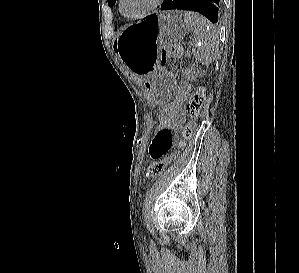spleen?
I'll return each mask as SVG.
<instances>
[{
	"label": "spleen",
	"mask_w": 299,
	"mask_h": 273,
	"mask_svg": "<svg viewBox=\"0 0 299 273\" xmlns=\"http://www.w3.org/2000/svg\"><path fill=\"white\" fill-rule=\"evenodd\" d=\"M184 17L192 33L194 48L193 55L202 65L211 64L219 47V36L216 27L205 17L194 12H184Z\"/></svg>",
	"instance_id": "1"
}]
</instances>
